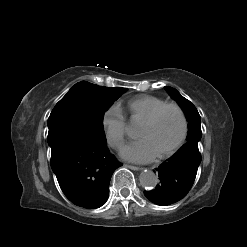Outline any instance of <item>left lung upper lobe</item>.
Here are the masks:
<instances>
[{"mask_svg":"<svg viewBox=\"0 0 247 247\" xmlns=\"http://www.w3.org/2000/svg\"><path fill=\"white\" fill-rule=\"evenodd\" d=\"M165 89L168 91L169 95L182 107L187 117L189 129L187 141L198 143L201 139L202 132L200 127V115L196 107L189 100L180 95L176 89L169 86H166Z\"/></svg>","mask_w":247,"mask_h":247,"instance_id":"obj_1","label":"left lung upper lobe"}]
</instances>
